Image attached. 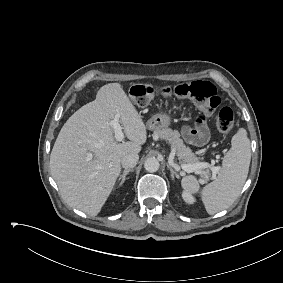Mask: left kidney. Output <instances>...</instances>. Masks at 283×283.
I'll return each instance as SVG.
<instances>
[{
	"label": "left kidney",
	"mask_w": 283,
	"mask_h": 283,
	"mask_svg": "<svg viewBox=\"0 0 283 283\" xmlns=\"http://www.w3.org/2000/svg\"><path fill=\"white\" fill-rule=\"evenodd\" d=\"M182 198L188 204H193L195 202V198L189 192H183L182 193Z\"/></svg>",
	"instance_id": "5707ae66"
}]
</instances>
